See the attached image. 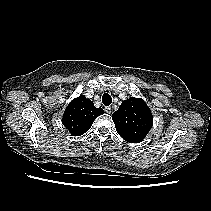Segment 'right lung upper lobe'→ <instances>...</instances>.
I'll return each instance as SVG.
<instances>
[{"instance_id": "cb5924a9", "label": "right lung upper lobe", "mask_w": 211, "mask_h": 211, "mask_svg": "<svg viewBox=\"0 0 211 211\" xmlns=\"http://www.w3.org/2000/svg\"><path fill=\"white\" fill-rule=\"evenodd\" d=\"M103 113L102 108H96L90 99L81 95L69 103L63 114L62 123L72 136H80L87 132L94 120Z\"/></svg>"}]
</instances>
